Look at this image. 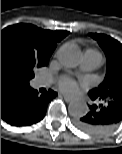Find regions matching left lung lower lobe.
I'll return each mask as SVG.
<instances>
[{
    "label": "left lung lower lobe",
    "mask_w": 122,
    "mask_h": 154,
    "mask_svg": "<svg viewBox=\"0 0 122 154\" xmlns=\"http://www.w3.org/2000/svg\"><path fill=\"white\" fill-rule=\"evenodd\" d=\"M97 104L89 106L87 114L76 121V126L89 134H105L122 121V91H114L111 97L89 93Z\"/></svg>",
    "instance_id": "left-lung-lower-lobe-1"
}]
</instances>
